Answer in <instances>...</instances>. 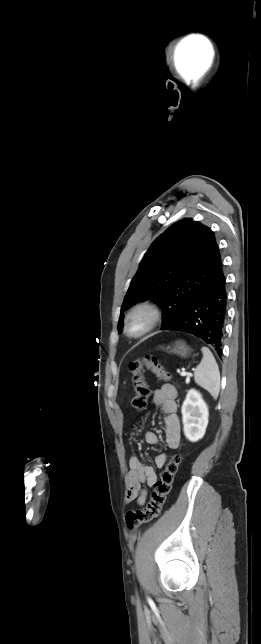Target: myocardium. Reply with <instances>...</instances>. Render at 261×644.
I'll list each match as a JSON object with an SVG mask.
<instances>
[{
  "instance_id": "obj_1",
  "label": "myocardium",
  "mask_w": 261,
  "mask_h": 644,
  "mask_svg": "<svg viewBox=\"0 0 261 644\" xmlns=\"http://www.w3.org/2000/svg\"><path fill=\"white\" fill-rule=\"evenodd\" d=\"M144 316V324L137 330L133 329V321L137 316ZM163 315L161 305L153 299H145L135 303L125 316L124 333L128 338L138 339L152 331L161 321Z\"/></svg>"
}]
</instances>
